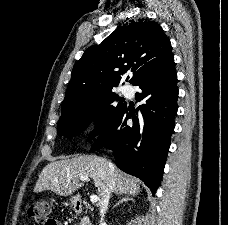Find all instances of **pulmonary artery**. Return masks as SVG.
I'll use <instances>...</instances> for the list:
<instances>
[{
	"mask_svg": "<svg viewBox=\"0 0 228 225\" xmlns=\"http://www.w3.org/2000/svg\"><path fill=\"white\" fill-rule=\"evenodd\" d=\"M122 92H123L124 94L128 93V88H127V87H123V88H122Z\"/></svg>",
	"mask_w": 228,
	"mask_h": 225,
	"instance_id": "obj_1",
	"label": "pulmonary artery"
}]
</instances>
